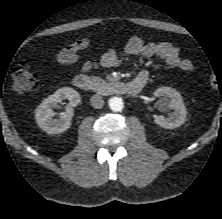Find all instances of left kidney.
Wrapping results in <instances>:
<instances>
[{
	"mask_svg": "<svg viewBox=\"0 0 222 219\" xmlns=\"http://www.w3.org/2000/svg\"><path fill=\"white\" fill-rule=\"evenodd\" d=\"M154 95L162 97L159 102L160 108L173 110L168 118L156 116L154 121L157 125L166 129H174L184 124L187 111L183 98L178 91L171 87H161L154 92Z\"/></svg>",
	"mask_w": 222,
	"mask_h": 219,
	"instance_id": "5707ae66",
	"label": "left kidney"
}]
</instances>
